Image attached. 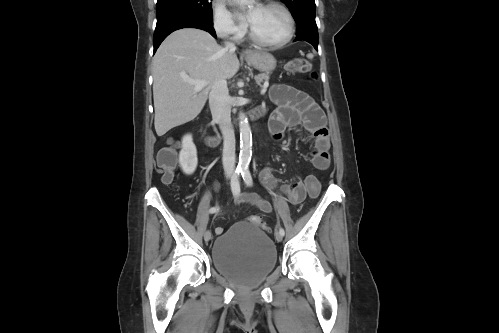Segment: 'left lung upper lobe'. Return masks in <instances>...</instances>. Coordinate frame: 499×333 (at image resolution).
<instances>
[{"mask_svg":"<svg viewBox=\"0 0 499 333\" xmlns=\"http://www.w3.org/2000/svg\"><path fill=\"white\" fill-rule=\"evenodd\" d=\"M291 10L297 23L315 21V1L314 0H282Z\"/></svg>","mask_w":499,"mask_h":333,"instance_id":"left-lung-upper-lobe-1","label":"left lung upper lobe"}]
</instances>
